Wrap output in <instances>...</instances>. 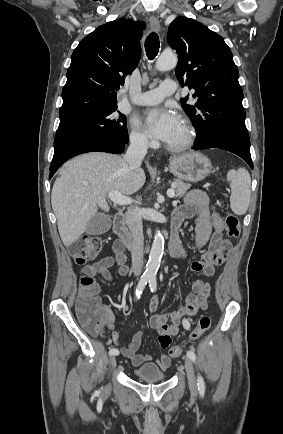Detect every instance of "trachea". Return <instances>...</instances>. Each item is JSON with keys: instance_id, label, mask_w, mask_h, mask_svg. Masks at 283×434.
I'll list each match as a JSON object with an SVG mask.
<instances>
[{"instance_id": "3493384b", "label": "trachea", "mask_w": 283, "mask_h": 434, "mask_svg": "<svg viewBox=\"0 0 283 434\" xmlns=\"http://www.w3.org/2000/svg\"><path fill=\"white\" fill-rule=\"evenodd\" d=\"M160 41L158 34L152 32L145 41V51L150 60L154 59L159 52Z\"/></svg>"}]
</instances>
